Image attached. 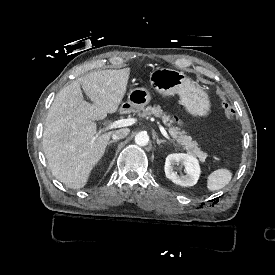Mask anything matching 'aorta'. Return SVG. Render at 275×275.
Listing matches in <instances>:
<instances>
[{
    "mask_svg": "<svg viewBox=\"0 0 275 275\" xmlns=\"http://www.w3.org/2000/svg\"><path fill=\"white\" fill-rule=\"evenodd\" d=\"M135 144L144 147L149 144L150 139L146 132H139L134 137Z\"/></svg>",
    "mask_w": 275,
    "mask_h": 275,
    "instance_id": "aorta-1",
    "label": "aorta"
}]
</instances>
